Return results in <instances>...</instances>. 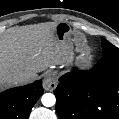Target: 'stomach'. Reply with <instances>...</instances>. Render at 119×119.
<instances>
[{
	"label": "stomach",
	"instance_id": "obj_1",
	"mask_svg": "<svg viewBox=\"0 0 119 119\" xmlns=\"http://www.w3.org/2000/svg\"><path fill=\"white\" fill-rule=\"evenodd\" d=\"M71 28L67 23H58L54 30V37L60 46L61 59L58 64L71 66L73 63V50L70 44Z\"/></svg>",
	"mask_w": 119,
	"mask_h": 119
}]
</instances>
